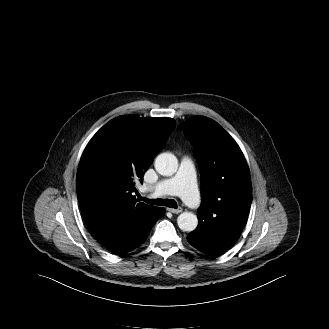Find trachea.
Returning <instances> with one entry per match:
<instances>
[{
    "instance_id": "trachea-1",
    "label": "trachea",
    "mask_w": 329,
    "mask_h": 329,
    "mask_svg": "<svg viewBox=\"0 0 329 329\" xmlns=\"http://www.w3.org/2000/svg\"><path fill=\"white\" fill-rule=\"evenodd\" d=\"M139 200H142L148 204L158 205V206H167L170 208H177V203L173 199H155V200H149L144 197H142L140 194L137 195Z\"/></svg>"
}]
</instances>
